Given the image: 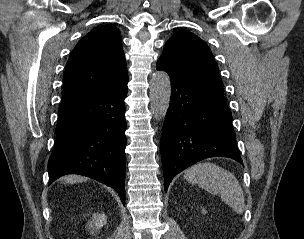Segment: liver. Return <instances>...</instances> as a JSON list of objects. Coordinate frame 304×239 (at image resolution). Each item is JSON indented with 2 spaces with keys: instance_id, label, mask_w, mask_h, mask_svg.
I'll use <instances>...</instances> for the list:
<instances>
[{
  "instance_id": "liver-1",
  "label": "liver",
  "mask_w": 304,
  "mask_h": 239,
  "mask_svg": "<svg viewBox=\"0 0 304 239\" xmlns=\"http://www.w3.org/2000/svg\"><path fill=\"white\" fill-rule=\"evenodd\" d=\"M62 180H64L65 183H77V182H83L86 181L87 178L81 177V176H66Z\"/></svg>"
}]
</instances>
